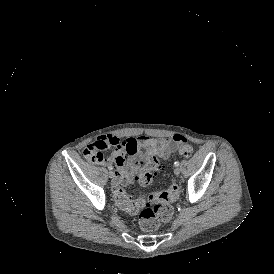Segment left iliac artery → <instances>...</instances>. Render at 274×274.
Instances as JSON below:
<instances>
[{
  "label": "left iliac artery",
  "instance_id": "1",
  "mask_svg": "<svg viewBox=\"0 0 274 274\" xmlns=\"http://www.w3.org/2000/svg\"><path fill=\"white\" fill-rule=\"evenodd\" d=\"M179 161H176L175 163H174V165L176 166V167H178L179 166Z\"/></svg>",
  "mask_w": 274,
  "mask_h": 274
}]
</instances>
